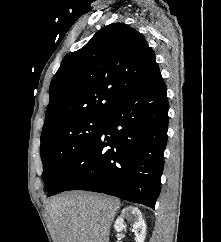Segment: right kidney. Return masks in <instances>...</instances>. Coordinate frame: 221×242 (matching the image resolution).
<instances>
[{
    "label": "right kidney",
    "mask_w": 221,
    "mask_h": 242,
    "mask_svg": "<svg viewBox=\"0 0 221 242\" xmlns=\"http://www.w3.org/2000/svg\"><path fill=\"white\" fill-rule=\"evenodd\" d=\"M133 221L132 232L136 237V242H144L146 236V223L142 218V213L137 207H126L116 219L114 228L117 232L125 230L124 220Z\"/></svg>",
    "instance_id": "obj_1"
}]
</instances>
